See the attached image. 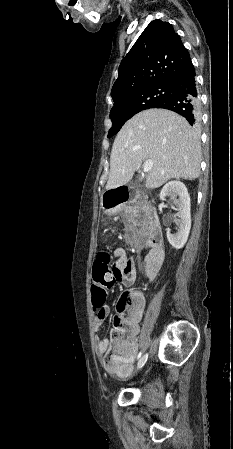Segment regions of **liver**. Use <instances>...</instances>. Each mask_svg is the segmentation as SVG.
<instances>
[{
    "label": "liver",
    "instance_id": "1",
    "mask_svg": "<svg viewBox=\"0 0 233 449\" xmlns=\"http://www.w3.org/2000/svg\"><path fill=\"white\" fill-rule=\"evenodd\" d=\"M146 161L153 162L147 188H158L174 178L196 179L201 162L199 137L188 121L173 111L149 109L136 114L114 140L106 189L127 184Z\"/></svg>",
    "mask_w": 233,
    "mask_h": 449
}]
</instances>
